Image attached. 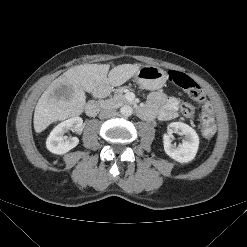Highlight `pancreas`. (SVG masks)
I'll list each match as a JSON object with an SVG mask.
<instances>
[{
    "label": "pancreas",
    "mask_w": 247,
    "mask_h": 247,
    "mask_svg": "<svg viewBox=\"0 0 247 247\" xmlns=\"http://www.w3.org/2000/svg\"><path fill=\"white\" fill-rule=\"evenodd\" d=\"M124 90L119 89L115 92L114 96L105 100H101V106L106 108H118L127 103V99L123 94Z\"/></svg>",
    "instance_id": "cf45deb5"
}]
</instances>
